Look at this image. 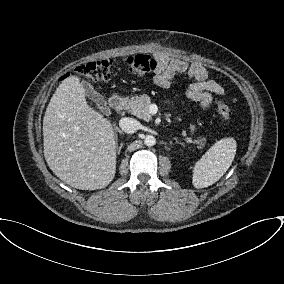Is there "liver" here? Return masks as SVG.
<instances>
[{
	"label": "liver",
	"instance_id": "1",
	"mask_svg": "<svg viewBox=\"0 0 284 284\" xmlns=\"http://www.w3.org/2000/svg\"><path fill=\"white\" fill-rule=\"evenodd\" d=\"M77 76L62 81L43 119L44 157L53 173L71 187H106L116 170V141L110 121L88 105Z\"/></svg>",
	"mask_w": 284,
	"mask_h": 284
}]
</instances>
